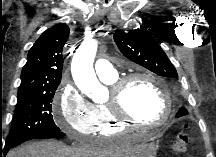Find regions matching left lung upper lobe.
I'll return each mask as SVG.
<instances>
[{
    "instance_id": "1",
    "label": "left lung upper lobe",
    "mask_w": 216,
    "mask_h": 157,
    "mask_svg": "<svg viewBox=\"0 0 216 157\" xmlns=\"http://www.w3.org/2000/svg\"><path fill=\"white\" fill-rule=\"evenodd\" d=\"M121 53L129 60L163 77L178 78L174 65L148 30L119 31L113 36ZM182 114L186 109L179 110Z\"/></svg>"
}]
</instances>
